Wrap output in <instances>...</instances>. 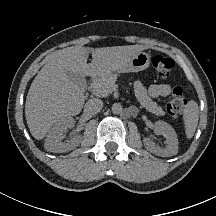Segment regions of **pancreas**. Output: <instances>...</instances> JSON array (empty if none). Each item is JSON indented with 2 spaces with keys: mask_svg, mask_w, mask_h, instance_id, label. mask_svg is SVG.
Returning a JSON list of instances; mask_svg holds the SVG:
<instances>
[{
  "mask_svg": "<svg viewBox=\"0 0 216 216\" xmlns=\"http://www.w3.org/2000/svg\"><path fill=\"white\" fill-rule=\"evenodd\" d=\"M116 75H103L93 81L91 84L92 92L99 97H106L110 93L114 91V87H116ZM134 93L141 104L147 111L162 116L164 115V111L160 106L157 105L148 95L146 89L143 87L142 83L137 81L134 84Z\"/></svg>",
  "mask_w": 216,
  "mask_h": 216,
  "instance_id": "cf45deb5",
  "label": "pancreas"
}]
</instances>
